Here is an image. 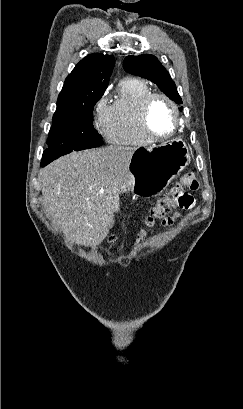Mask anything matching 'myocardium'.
<instances>
[{
    "instance_id": "obj_1",
    "label": "myocardium",
    "mask_w": 243,
    "mask_h": 409,
    "mask_svg": "<svg viewBox=\"0 0 243 409\" xmlns=\"http://www.w3.org/2000/svg\"><path fill=\"white\" fill-rule=\"evenodd\" d=\"M158 98L164 100L165 102L169 104V106L171 107L173 111L174 118H175L174 129L170 133L165 134V135H158L154 133L149 123V113H150L151 105L153 101ZM140 122H141L143 131L145 132V134L147 135L149 139H151L152 141H162V140L172 138L178 132L180 128V124H181V118H180V113H179L176 103L169 96L163 93H159V92H151L141 102Z\"/></svg>"
}]
</instances>
